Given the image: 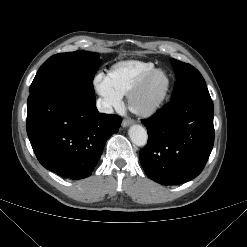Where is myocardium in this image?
<instances>
[{
    "instance_id": "f54148a6",
    "label": "myocardium",
    "mask_w": 247,
    "mask_h": 247,
    "mask_svg": "<svg viewBox=\"0 0 247 247\" xmlns=\"http://www.w3.org/2000/svg\"><path fill=\"white\" fill-rule=\"evenodd\" d=\"M162 74L166 79L163 90L156 96L149 97L148 91L154 78ZM171 77L169 73L162 68H155L140 82V84L131 91L128 97L129 108L135 114L141 116H150L157 112L166 101L171 89Z\"/></svg>"
}]
</instances>
